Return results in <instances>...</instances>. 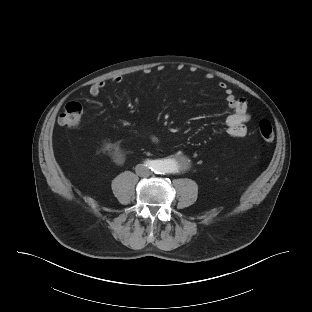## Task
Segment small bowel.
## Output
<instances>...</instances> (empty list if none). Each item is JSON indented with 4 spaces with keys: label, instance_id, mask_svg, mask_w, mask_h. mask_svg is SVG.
Listing matches in <instances>:
<instances>
[{
    "label": "small bowel",
    "instance_id": "small-bowel-1",
    "mask_svg": "<svg viewBox=\"0 0 312 312\" xmlns=\"http://www.w3.org/2000/svg\"><path fill=\"white\" fill-rule=\"evenodd\" d=\"M212 74H207L206 79H211ZM123 80L121 76L113 78V83L118 84ZM106 86L105 81H98L89 88V95L92 98L99 96ZM219 88L225 94L227 109L231 114L226 119L227 133L233 138H242L247 134L246 123L250 120L247 111V100L244 97H237L233 94L231 88L224 82L219 83Z\"/></svg>",
    "mask_w": 312,
    "mask_h": 312
}]
</instances>
